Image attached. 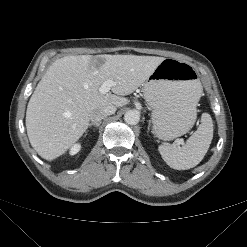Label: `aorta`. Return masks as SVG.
I'll use <instances>...</instances> for the list:
<instances>
[{"mask_svg": "<svg viewBox=\"0 0 247 247\" xmlns=\"http://www.w3.org/2000/svg\"><path fill=\"white\" fill-rule=\"evenodd\" d=\"M140 120V113L137 110H129L124 114V121L129 125H136Z\"/></svg>", "mask_w": 247, "mask_h": 247, "instance_id": "obj_1", "label": "aorta"}]
</instances>
